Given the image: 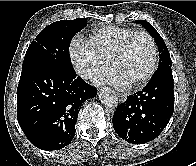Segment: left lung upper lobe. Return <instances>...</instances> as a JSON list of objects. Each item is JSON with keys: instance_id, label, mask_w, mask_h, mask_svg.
Segmentation results:
<instances>
[{"instance_id": "1", "label": "left lung upper lobe", "mask_w": 196, "mask_h": 166, "mask_svg": "<svg viewBox=\"0 0 196 166\" xmlns=\"http://www.w3.org/2000/svg\"><path fill=\"white\" fill-rule=\"evenodd\" d=\"M137 22L141 23L147 29V31L151 34V36L155 39L157 43L160 58L158 69L166 66H171V58L169 55V51L160 34L147 21L137 20Z\"/></svg>"}]
</instances>
